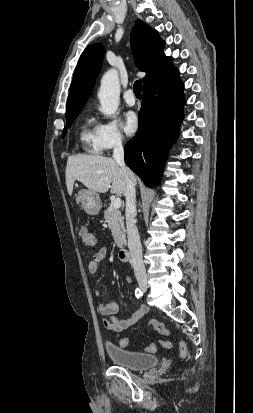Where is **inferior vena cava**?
Instances as JSON below:
<instances>
[{
	"mask_svg": "<svg viewBox=\"0 0 253 413\" xmlns=\"http://www.w3.org/2000/svg\"><path fill=\"white\" fill-rule=\"evenodd\" d=\"M114 160L121 166L125 173L126 179V226H127V238L128 248L131 254L132 266L136 277H146V270L142 258V246L137 227L135 225L136 216V192L135 184L132 181L130 170L126 167L124 162V149L122 146L121 138H117L114 143L113 150Z\"/></svg>",
	"mask_w": 253,
	"mask_h": 413,
	"instance_id": "obj_1",
	"label": "inferior vena cava"
}]
</instances>
